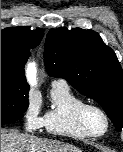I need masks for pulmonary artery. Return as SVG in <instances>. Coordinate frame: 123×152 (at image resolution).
<instances>
[{"label":"pulmonary artery","mask_w":123,"mask_h":152,"mask_svg":"<svg viewBox=\"0 0 123 152\" xmlns=\"http://www.w3.org/2000/svg\"><path fill=\"white\" fill-rule=\"evenodd\" d=\"M58 85H67V83L62 79L52 80V86H58Z\"/></svg>","instance_id":"pulmonary-artery-1"}]
</instances>
